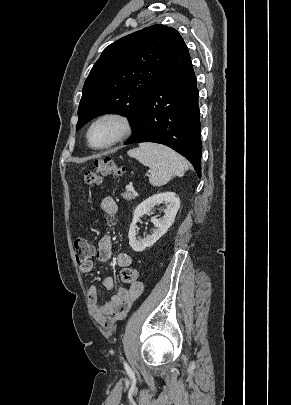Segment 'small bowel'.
Segmentation results:
<instances>
[{
    "mask_svg": "<svg viewBox=\"0 0 291 405\" xmlns=\"http://www.w3.org/2000/svg\"><path fill=\"white\" fill-rule=\"evenodd\" d=\"M101 211L106 219L116 216L118 206L112 197H105L100 204ZM96 257L99 261H107L112 257V238L109 235L102 236L97 245ZM119 267L126 268L132 264L129 254L121 252L116 257ZM93 262L88 260L80 264L82 273L93 270ZM104 287L113 292V295L103 305L98 304V291L95 286L88 290V300L91 306V314L96 323L105 329L112 328L118 321L124 319L131 309L135 300L142 294L143 283L137 281L129 288L117 287L114 279L107 276L103 281Z\"/></svg>",
    "mask_w": 291,
    "mask_h": 405,
    "instance_id": "1",
    "label": "small bowel"
}]
</instances>
